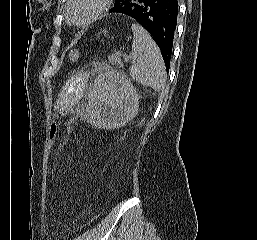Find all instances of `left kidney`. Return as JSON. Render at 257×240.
Masks as SVG:
<instances>
[{
	"instance_id": "obj_1",
	"label": "left kidney",
	"mask_w": 257,
	"mask_h": 240,
	"mask_svg": "<svg viewBox=\"0 0 257 240\" xmlns=\"http://www.w3.org/2000/svg\"><path fill=\"white\" fill-rule=\"evenodd\" d=\"M139 108V95L120 72L99 76L90 92L89 122L96 128L116 129L133 118Z\"/></svg>"
}]
</instances>
